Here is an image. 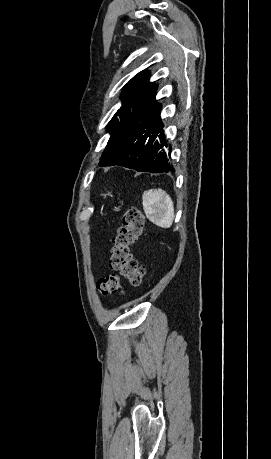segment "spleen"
Listing matches in <instances>:
<instances>
[{
    "instance_id": "1",
    "label": "spleen",
    "mask_w": 271,
    "mask_h": 459,
    "mask_svg": "<svg viewBox=\"0 0 271 459\" xmlns=\"http://www.w3.org/2000/svg\"><path fill=\"white\" fill-rule=\"evenodd\" d=\"M143 210L150 222L160 228H170L173 224V202L164 190H148L143 196Z\"/></svg>"
}]
</instances>
